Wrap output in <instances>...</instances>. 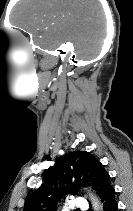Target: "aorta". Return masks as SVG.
Segmentation results:
<instances>
[{"mask_svg":"<svg viewBox=\"0 0 133 211\" xmlns=\"http://www.w3.org/2000/svg\"><path fill=\"white\" fill-rule=\"evenodd\" d=\"M90 201H91L92 207L95 211L102 210V206H101L98 198L96 196H94L93 194H90Z\"/></svg>","mask_w":133,"mask_h":211,"instance_id":"762f6f07","label":"aorta"}]
</instances>
